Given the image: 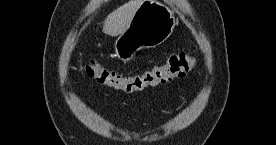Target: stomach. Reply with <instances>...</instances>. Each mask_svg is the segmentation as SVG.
<instances>
[{
    "instance_id": "1",
    "label": "stomach",
    "mask_w": 276,
    "mask_h": 145,
    "mask_svg": "<svg viewBox=\"0 0 276 145\" xmlns=\"http://www.w3.org/2000/svg\"><path fill=\"white\" fill-rule=\"evenodd\" d=\"M175 25L171 9L157 0H143L128 28L114 43L116 56L127 62L137 51L162 44L172 34Z\"/></svg>"
}]
</instances>
